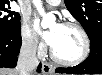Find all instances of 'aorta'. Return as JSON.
<instances>
[{
	"label": "aorta",
	"mask_w": 102,
	"mask_h": 75,
	"mask_svg": "<svg viewBox=\"0 0 102 75\" xmlns=\"http://www.w3.org/2000/svg\"><path fill=\"white\" fill-rule=\"evenodd\" d=\"M33 3L40 14L43 16V20L41 22L42 28H47L50 24L55 21V16L52 14H45L42 8L41 0H33Z\"/></svg>",
	"instance_id": "obj_1"
}]
</instances>
